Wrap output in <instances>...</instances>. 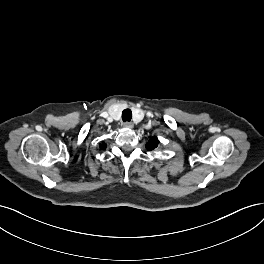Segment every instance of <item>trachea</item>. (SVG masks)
I'll list each match as a JSON object with an SVG mask.
<instances>
[{"label": "trachea", "mask_w": 264, "mask_h": 264, "mask_svg": "<svg viewBox=\"0 0 264 264\" xmlns=\"http://www.w3.org/2000/svg\"><path fill=\"white\" fill-rule=\"evenodd\" d=\"M131 118H132L131 110L130 109L123 110V112H122V120H123V122H129V121H131Z\"/></svg>", "instance_id": "obj_1"}]
</instances>
